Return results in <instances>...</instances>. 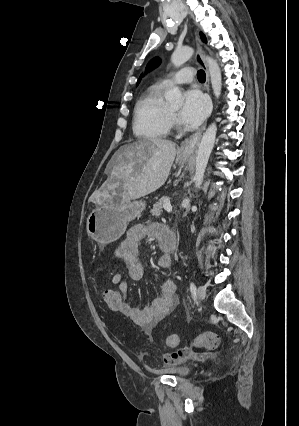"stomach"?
<instances>
[{"label":"stomach","instance_id":"0dacf381","mask_svg":"<svg viewBox=\"0 0 299 426\" xmlns=\"http://www.w3.org/2000/svg\"><path fill=\"white\" fill-rule=\"evenodd\" d=\"M190 156L179 154L180 163H186ZM145 208L142 200H133L115 204L108 202L96 207L88 216L86 229L88 235L101 245H107L119 239L128 223L139 217Z\"/></svg>","mask_w":299,"mask_h":426}]
</instances>
